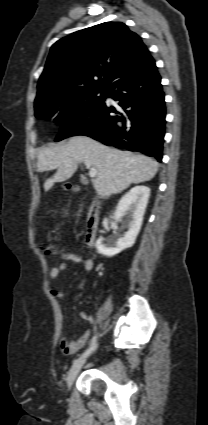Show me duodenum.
Listing matches in <instances>:
<instances>
[{
	"instance_id": "duodenum-1",
	"label": "duodenum",
	"mask_w": 208,
	"mask_h": 425,
	"mask_svg": "<svg viewBox=\"0 0 208 425\" xmlns=\"http://www.w3.org/2000/svg\"><path fill=\"white\" fill-rule=\"evenodd\" d=\"M99 228V213L97 207L92 201L87 212L86 225H85V234H84V243L86 246L90 247L94 244L97 231Z\"/></svg>"
}]
</instances>
